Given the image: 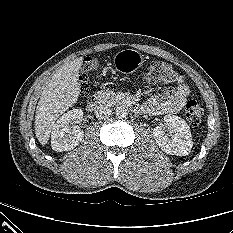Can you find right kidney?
I'll return each mask as SVG.
<instances>
[{"label":"right kidney","mask_w":233,"mask_h":233,"mask_svg":"<svg viewBox=\"0 0 233 233\" xmlns=\"http://www.w3.org/2000/svg\"><path fill=\"white\" fill-rule=\"evenodd\" d=\"M83 117L81 109H73L61 116L54 124L51 133V146L57 152L69 151L82 141L84 132L78 127L70 126L73 120Z\"/></svg>","instance_id":"obj_1"}]
</instances>
